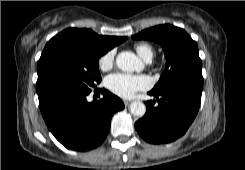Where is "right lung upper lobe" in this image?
<instances>
[{
	"mask_svg": "<svg viewBox=\"0 0 245 170\" xmlns=\"http://www.w3.org/2000/svg\"><path fill=\"white\" fill-rule=\"evenodd\" d=\"M127 37L102 36L91 29L68 28L54 36L49 42H65L105 54L113 47L124 42Z\"/></svg>",
	"mask_w": 245,
	"mask_h": 170,
	"instance_id": "obj_1",
	"label": "right lung upper lobe"
}]
</instances>
